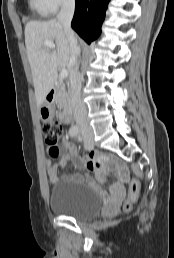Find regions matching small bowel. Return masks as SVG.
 Segmentation results:
<instances>
[{
    "instance_id": "small-bowel-1",
    "label": "small bowel",
    "mask_w": 174,
    "mask_h": 258,
    "mask_svg": "<svg viewBox=\"0 0 174 258\" xmlns=\"http://www.w3.org/2000/svg\"><path fill=\"white\" fill-rule=\"evenodd\" d=\"M58 155H61V160L58 164H53L50 161H47V173L51 183L55 184L58 181V171L60 167H63L68 161L73 160L74 164L78 167H81L86 170L95 171L99 179H103L104 173L101 170V165L103 162H106L108 165L113 166L115 169L119 183L116 185L113 195L115 198L122 191V185L124 182L128 181V172L126 168L120 163L117 159L109 158H100L96 153H91L87 156H80L77 154L75 146L69 142L67 139H64L61 144L57 147ZM50 154V148H49ZM51 155V154H50Z\"/></svg>"
}]
</instances>
